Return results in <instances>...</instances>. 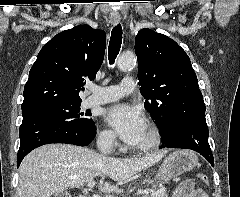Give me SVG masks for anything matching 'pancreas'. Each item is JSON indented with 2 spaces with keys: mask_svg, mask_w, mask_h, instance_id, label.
Masks as SVG:
<instances>
[{
  "mask_svg": "<svg viewBox=\"0 0 240 197\" xmlns=\"http://www.w3.org/2000/svg\"><path fill=\"white\" fill-rule=\"evenodd\" d=\"M144 197H149V196H144ZM150 197H168L165 192H155L151 194Z\"/></svg>",
  "mask_w": 240,
  "mask_h": 197,
  "instance_id": "pancreas-1",
  "label": "pancreas"
}]
</instances>
